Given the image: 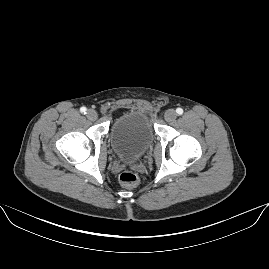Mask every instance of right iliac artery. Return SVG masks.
<instances>
[{
	"mask_svg": "<svg viewBox=\"0 0 269 269\" xmlns=\"http://www.w3.org/2000/svg\"><path fill=\"white\" fill-rule=\"evenodd\" d=\"M87 109L85 107L80 108V112L86 114Z\"/></svg>",
	"mask_w": 269,
	"mask_h": 269,
	"instance_id": "obj_1",
	"label": "right iliac artery"
}]
</instances>
